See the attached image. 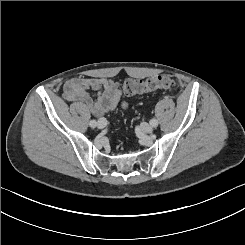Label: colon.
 <instances>
[{"label":"colon","instance_id":"1","mask_svg":"<svg viewBox=\"0 0 245 245\" xmlns=\"http://www.w3.org/2000/svg\"><path fill=\"white\" fill-rule=\"evenodd\" d=\"M176 86V81L167 74H161L141 79H126L123 82L122 90L127 95L144 94L161 89H172Z\"/></svg>","mask_w":245,"mask_h":245}]
</instances>
